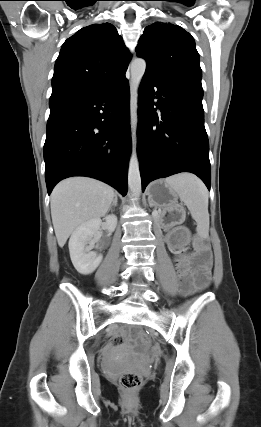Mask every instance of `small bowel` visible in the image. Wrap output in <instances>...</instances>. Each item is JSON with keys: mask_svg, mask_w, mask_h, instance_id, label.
Segmentation results:
<instances>
[{"mask_svg": "<svg viewBox=\"0 0 261 427\" xmlns=\"http://www.w3.org/2000/svg\"><path fill=\"white\" fill-rule=\"evenodd\" d=\"M187 290H190V286H188V287H187ZM112 342H113L114 344H117V343H119V342H120V340H119V339H117V338H115V339H113V340H112Z\"/></svg>", "mask_w": 261, "mask_h": 427, "instance_id": "obj_1", "label": "small bowel"}]
</instances>
